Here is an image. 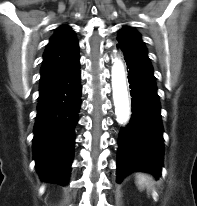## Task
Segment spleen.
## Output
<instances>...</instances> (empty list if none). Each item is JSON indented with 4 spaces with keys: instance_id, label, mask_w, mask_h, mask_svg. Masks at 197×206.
Returning a JSON list of instances; mask_svg holds the SVG:
<instances>
[{
    "instance_id": "1",
    "label": "spleen",
    "mask_w": 197,
    "mask_h": 206,
    "mask_svg": "<svg viewBox=\"0 0 197 206\" xmlns=\"http://www.w3.org/2000/svg\"><path fill=\"white\" fill-rule=\"evenodd\" d=\"M136 185L140 191L144 189L150 190L153 185V178L150 175L139 173L136 176Z\"/></svg>"
}]
</instances>
